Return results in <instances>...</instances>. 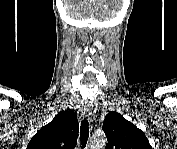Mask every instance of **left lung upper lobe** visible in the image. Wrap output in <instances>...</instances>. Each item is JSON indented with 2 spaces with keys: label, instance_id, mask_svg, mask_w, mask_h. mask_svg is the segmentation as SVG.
Listing matches in <instances>:
<instances>
[{
  "label": "left lung upper lobe",
  "instance_id": "left-lung-upper-lobe-1",
  "mask_svg": "<svg viewBox=\"0 0 177 149\" xmlns=\"http://www.w3.org/2000/svg\"><path fill=\"white\" fill-rule=\"evenodd\" d=\"M106 149H152L145 134L121 114L109 112L103 123Z\"/></svg>",
  "mask_w": 177,
  "mask_h": 149
}]
</instances>
